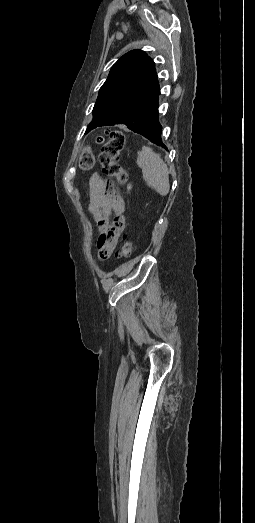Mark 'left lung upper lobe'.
Listing matches in <instances>:
<instances>
[{
  "label": "left lung upper lobe",
  "instance_id": "left-lung-upper-lobe-1",
  "mask_svg": "<svg viewBox=\"0 0 255 523\" xmlns=\"http://www.w3.org/2000/svg\"><path fill=\"white\" fill-rule=\"evenodd\" d=\"M159 95L153 60L141 50L124 54L112 66L100 88L93 119L85 133L98 126L115 124H125L134 132L151 130L162 118L158 113Z\"/></svg>",
  "mask_w": 255,
  "mask_h": 523
}]
</instances>
